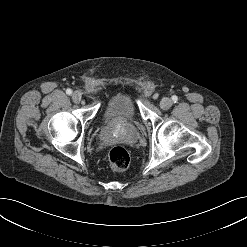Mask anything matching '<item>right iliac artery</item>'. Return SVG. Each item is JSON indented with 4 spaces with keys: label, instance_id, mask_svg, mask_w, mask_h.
I'll return each instance as SVG.
<instances>
[{
    "label": "right iliac artery",
    "instance_id": "obj_1",
    "mask_svg": "<svg viewBox=\"0 0 247 247\" xmlns=\"http://www.w3.org/2000/svg\"><path fill=\"white\" fill-rule=\"evenodd\" d=\"M66 93H67L68 95H71V94H72V90H71V89H67V90H66Z\"/></svg>",
    "mask_w": 247,
    "mask_h": 247
}]
</instances>
